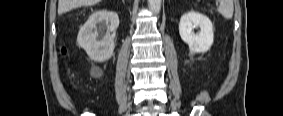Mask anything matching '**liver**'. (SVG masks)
<instances>
[{"label":"liver","mask_w":283,"mask_h":116,"mask_svg":"<svg viewBox=\"0 0 283 116\" xmlns=\"http://www.w3.org/2000/svg\"><path fill=\"white\" fill-rule=\"evenodd\" d=\"M100 0H58V14L62 15L80 6L94 5Z\"/></svg>","instance_id":"obj_1"}]
</instances>
